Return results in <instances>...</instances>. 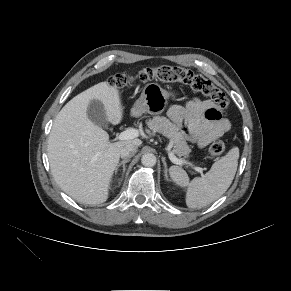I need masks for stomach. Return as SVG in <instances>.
<instances>
[{"label": "stomach", "instance_id": "1", "mask_svg": "<svg viewBox=\"0 0 291 291\" xmlns=\"http://www.w3.org/2000/svg\"><path fill=\"white\" fill-rule=\"evenodd\" d=\"M175 97V93L166 91L159 84L149 83L144 87L131 112L134 116H140L143 113L161 114L165 110L168 100Z\"/></svg>", "mask_w": 291, "mask_h": 291}]
</instances>
